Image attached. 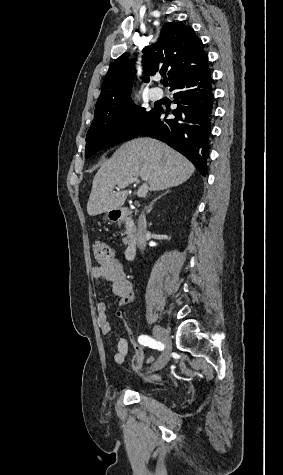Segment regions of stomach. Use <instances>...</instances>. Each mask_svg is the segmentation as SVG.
Segmentation results:
<instances>
[{
    "mask_svg": "<svg viewBox=\"0 0 283 475\" xmlns=\"http://www.w3.org/2000/svg\"><path fill=\"white\" fill-rule=\"evenodd\" d=\"M107 216H105V218H103V220H106Z\"/></svg>",
    "mask_w": 283,
    "mask_h": 475,
    "instance_id": "1",
    "label": "stomach"
}]
</instances>
